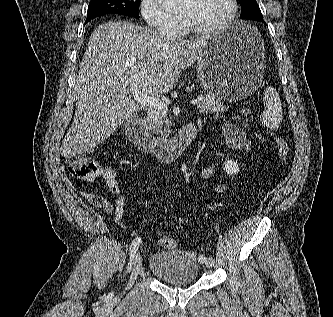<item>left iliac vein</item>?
I'll return each instance as SVG.
<instances>
[{"label": "left iliac vein", "instance_id": "obj_1", "mask_svg": "<svg viewBox=\"0 0 333 317\" xmlns=\"http://www.w3.org/2000/svg\"><path fill=\"white\" fill-rule=\"evenodd\" d=\"M215 264V260L213 258H208L206 261H205V265L208 267V268H211L213 267Z\"/></svg>", "mask_w": 333, "mask_h": 317}]
</instances>
